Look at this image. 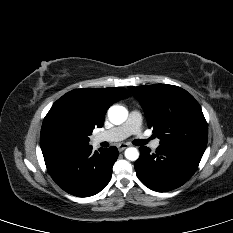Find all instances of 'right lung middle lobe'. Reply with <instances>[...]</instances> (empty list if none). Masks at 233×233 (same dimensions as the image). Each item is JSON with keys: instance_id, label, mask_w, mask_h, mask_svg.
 Listing matches in <instances>:
<instances>
[{"instance_id": "1", "label": "right lung middle lobe", "mask_w": 233, "mask_h": 233, "mask_svg": "<svg viewBox=\"0 0 233 233\" xmlns=\"http://www.w3.org/2000/svg\"><path fill=\"white\" fill-rule=\"evenodd\" d=\"M91 132L60 113H48L43 120L40 146L51 147H84Z\"/></svg>"}]
</instances>
